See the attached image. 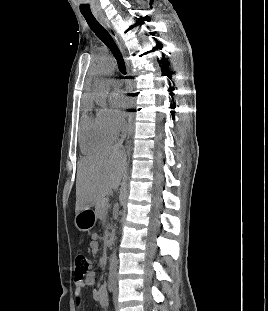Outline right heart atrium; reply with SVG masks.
<instances>
[{
    "mask_svg": "<svg viewBox=\"0 0 268 311\" xmlns=\"http://www.w3.org/2000/svg\"><path fill=\"white\" fill-rule=\"evenodd\" d=\"M99 114L107 127L115 134H118L124 129V121L116 111L104 108L99 112Z\"/></svg>",
    "mask_w": 268,
    "mask_h": 311,
    "instance_id": "1",
    "label": "right heart atrium"
}]
</instances>
